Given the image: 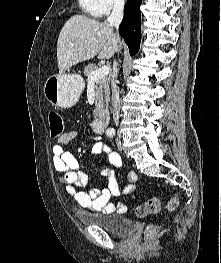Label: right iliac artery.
I'll list each match as a JSON object with an SVG mask.
<instances>
[{
    "label": "right iliac artery",
    "instance_id": "82829eb1",
    "mask_svg": "<svg viewBox=\"0 0 221 263\" xmlns=\"http://www.w3.org/2000/svg\"><path fill=\"white\" fill-rule=\"evenodd\" d=\"M108 136H109V137H113V136H114V133H109Z\"/></svg>",
    "mask_w": 221,
    "mask_h": 263
}]
</instances>
